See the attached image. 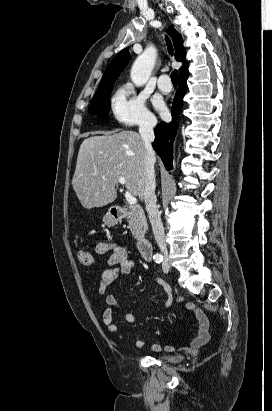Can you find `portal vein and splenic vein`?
<instances>
[{"instance_id":"1","label":"portal vein and splenic vein","mask_w":272,"mask_h":411,"mask_svg":"<svg viewBox=\"0 0 272 411\" xmlns=\"http://www.w3.org/2000/svg\"><path fill=\"white\" fill-rule=\"evenodd\" d=\"M118 182L122 185H125L126 184V179L124 177H119ZM125 198H126L127 202L130 205H136L137 204V199L129 191L125 192Z\"/></svg>"}]
</instances>
